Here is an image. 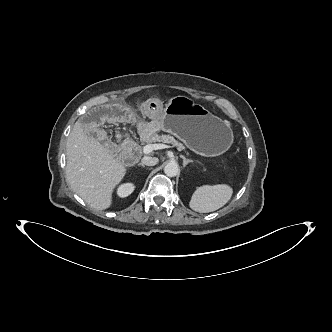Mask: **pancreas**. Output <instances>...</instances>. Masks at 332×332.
<instances>
[{
	"label": "pancreas",
	"instance_id": "cf45deb5",
	"mask_svg": "<svg viewBox=\"0 0 332 332\" xmlns=\"http://www.w3.org/2000/svg\"><path fill=\"white\" fill-rule=\"evenodd\" d=\"M149 144L151 143H156V142H165L168 144H172L175 146L178 150H183L185 147L184 145L176 140L173 136L171 135H153L148 139ZM152 145V144H151Z\"/></svg>",
	"mask_w": 332,
	"mask_h": 332
}]
</instances>
